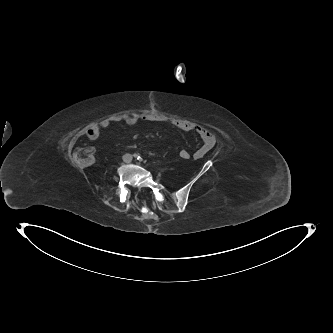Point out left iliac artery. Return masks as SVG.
<instances>
[{
  "label": "left iliac artery",
  "instance_id": "1",
  "mask_svg": "<svg viewBox=\"0 0 333 333\" xmlns=\"http://www.w3.org/2000/svg\"><path fill=\"white\" fill-rule=\"evenodd\" d=\"M134 156H135V158H137L138 160H142V158H141L138 154H135Z\"/></svg>",
  "mask_w": 333,
  "mask_h": 333
}]
</instances>
